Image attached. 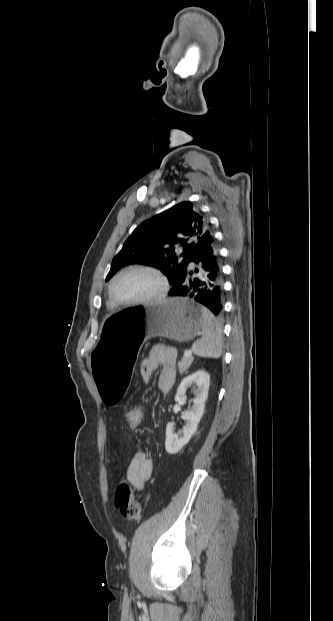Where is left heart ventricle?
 Returning a JSON list of instances; mask_svg holds the SVG:
<instances>
[{"label": "left heart ventricle", "instance_id": "b2bd125f", "mask_svg": "<svg viewBox=\"0 0 333 621\" xmlns=\"http://www.w3.org/2000/svg\"><path fill=\"white\" fill-rule=\"evenodd\" d=\"M161 284L151 273L134 271L121 276L114 284L113 291L121 301H133L154 296Z\"/></svg>", "mask_w": 333, "mask_h": 621}]
</instances>
